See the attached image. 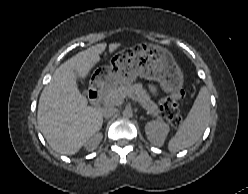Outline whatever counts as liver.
I'll list each match as a JSON object with an SVG mask.
<instances>
[{
  "label": "liver",
  "instance_id": "liver-1",
  "mask_svg": "<svg viewBox=\"0 0 248 194\" xmlns=\"http://www.w3.org/2000/svg\"><path fill=\"white\" fill-rule=\"evenodd\" d=\"M106 46V43L97 44L65 61L40 95L38 126L48 144L58 153H77L102 127L103 109L88 106L76 79L88 76ZM120 46V43L109 44V52L113 53Z\"/></svg>",
  "mask_w": 248,
  "mask_h": 194
}]
</instances>
